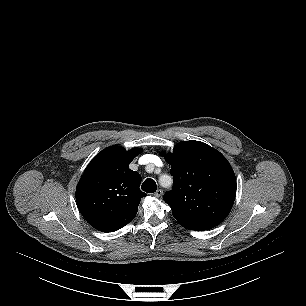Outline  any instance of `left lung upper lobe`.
Returning <instances> with one entry per match:
<instances>
[{"mask_svg": "<svg viewBox=\"0 0 306 306\" xmlns=\"http://www.w3.org/2000/svg\"><path fill=\"white\" fill-rule=\"evenodd\" d=\"M171 165L173 190L164 194L172 214L187 229L203 231L221 223L236 196V178L226 158L200 141H183L163 153Z\"/></svg>", "mask_w": 306, "mask_h": 306, "instance_id": "1", "label": "left lung upper lobe"}]
</instances>
